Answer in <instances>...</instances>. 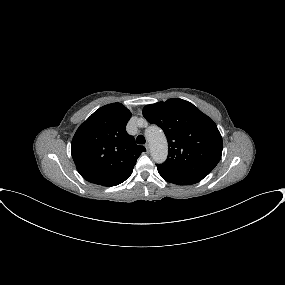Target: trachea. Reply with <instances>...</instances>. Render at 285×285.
Returning a JSON list of instances; mask_svg holds the SVG:
<instances>
[{
	"instance_id": "1",
	"label": "trachea",
	"mask_w": 285,
	"mask_h": 285,
	"mask_svg": "<svg viewBox=\"0 0 285 285\" xmlns=\"http://www.w3.org/2000/svg\"><path fill=\"white\" fill-rule=\"evenodd\" d=\"M136 141H137V143L140 144V145L145 144V138H144L143 135L137 136Z\"/></svg>"
}]
</instances>
